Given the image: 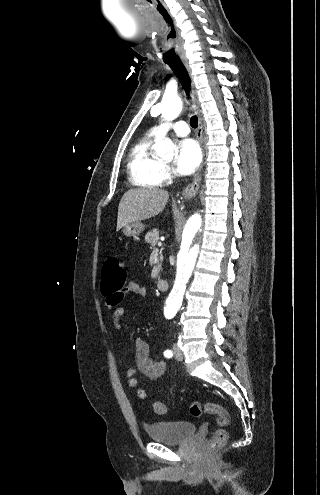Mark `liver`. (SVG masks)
<instances>
[{
  "label": "liver",
  "mask_w": 320,
  "mask_h": 495,
  "mask_svg": "<svg viewBox=\"0 0 320 495\" xmlns=\"http://www.w3.org/2000/svg\"><path fill=\"white\" fill-rule=\"evenodd\" d=\"M169 194L162 189H131L118 207L117 231L128 223L155 217L165 208Z\"/></svg>",
  "instance_id": "6515ba94"
}]
</instances>
